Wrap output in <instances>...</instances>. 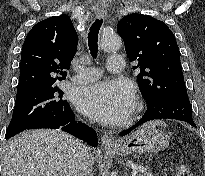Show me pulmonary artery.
I'll use <instances>...</instances> for the list:
<instances>
[{
    "label": "pulmonary artery",
    "instance_id": "1",
    "mask_svg": "<svg viewBox=\"0 0 205 176\" xmlns=\"http://www.w3.org/2000/svg\"><path fill=\"white\" fill-rule=\"evenodd\" d=\"M107 68L108 71L114 74H120L123 72L124 63L122 56L120 55H110L107 58ZM76 75L72 78L75 84H84L92 82L100 77V70L95 67H85L79 66L76 69Z\"/></svg>",
    "mask_w": 205,
    "mask_h": 176
}]
</instances>
